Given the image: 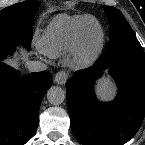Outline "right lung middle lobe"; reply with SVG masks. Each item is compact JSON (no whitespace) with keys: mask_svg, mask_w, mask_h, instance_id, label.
I'll return each mask as SVG.
<instances>
[{"mask_svg":"<svg viewBox=\"0 0 145 145\" xmlns=\"http://www.w3.org/2000/svg\"><path fill=\"white\" fill-rule=\"evenodd\" d=\"M39 5L30 0L0 10V59L11 54L18 44L30 47L31 27Z\"/></svg>","mask_w":145,"mask_h":145,"instance_id":"right-lung-middle-lobe-1","label":"right lung middle lobe"}]
</instances>
